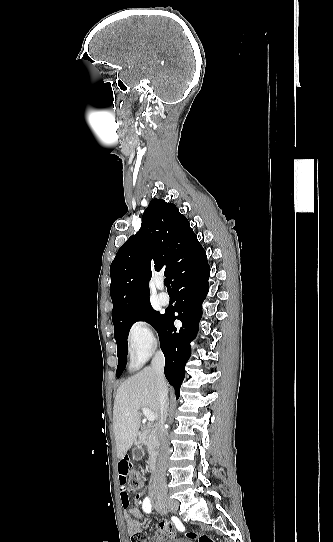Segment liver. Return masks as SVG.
<instances>
[{
	"label": "liver",
	"instance_id": "6515ba94",
	"mask_svg": "<svg viewBox=\"0 0 333 542\" xmlns=\"http://www.w3.org/2000/svg\"><path fill=\"white\" fill-rule=\"evenodd\" d=\"M141 408L154 412L157 424L160 420L159 394L153 368H144L128 378L117 390L113 408V432L117 458L123 460L139 434Z\"/></svg>",
	"mask_w": 333,
	"mask_h": 542
}]
</instances>
